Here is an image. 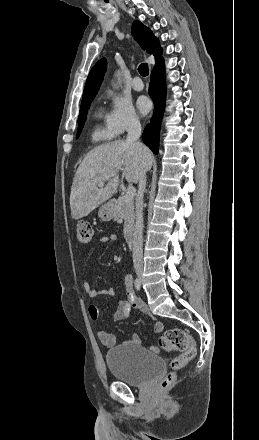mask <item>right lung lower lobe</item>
Segmentation results:
<instances>
[{"label": "right lung lower lobe", "instance_id": "1", "mask_svg": "<svg viewBox=\"0 0 259 440\" xmlns=\"http://www.w3.org/2000/svg\"><path fill=\"white\" fill-rule=\"evenodd\" d=\"M149 94L156 105L151 123L148 124L142 134L143 142L157 154L159 147V125L162 113L164 111L166 87H165V70L164 60L157 64L151 73Z\"/></svg>", "mask_w": 259, "mask_h": 440}]
</instances>
